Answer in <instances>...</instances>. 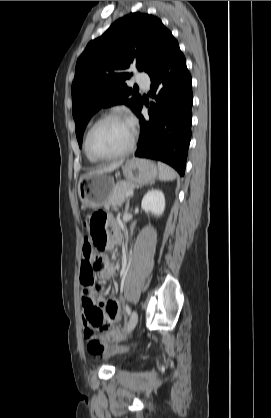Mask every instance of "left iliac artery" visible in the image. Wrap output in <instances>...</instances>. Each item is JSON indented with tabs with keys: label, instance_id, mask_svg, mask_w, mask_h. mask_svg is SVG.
Listing matches in <instances>:
<instances>
[{
	"label": "left iliac artery",
	"instance_id": "obj_1",
	"mask_svg": "<svg viewBox=\"0 0 271 418\" xmlns=\"http://www.w3.org/2000/svg\"><path fill=\"white\" fill-rule=\"evenodd\" d=\"M125 310H126L127 314L130 315L131 309L128 305L125 306Z\"/></svg>",
	"mask_w": 271,
	"mask_h": 418
}]
</instances>
